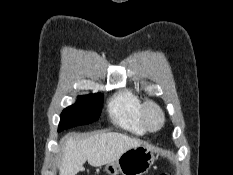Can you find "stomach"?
Segmentation results:
<instances>
[{
    "mask_svg": "<svg viewBox=\"0 0 233 175\" xmlns=\"http://www.w3.org/2000/svg\"><path fill=\"white\" fill-rule=\"evenodd\" d=\"M155 160L154 148L148 144L130 148L117 160L105 166L107 175H143Z\"/></svg>",
    "mask_w": 233,
    "mask_h": 175,
    "instance_id": "obj_1",
    "label": "stomach"
}]
</instances>
